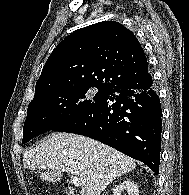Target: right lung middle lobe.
I'll list each match as a JSON object with an SVG mask.
<instances>
[{"label":"right lung middle lobe","mask_w":189,"mask_h":195,"mask_svg":"<svg viewBox=\"0 0 189 195\" xmlns=\"http://www.w3.org/2000/svg\"><path fill=\"white\" fill-rule=\"evenodd\" d=\"M93 88L98 90L94 96L91 95ZM106 90L103 87L76 86L32 100L28 105L22 143L25 144L39 134L54 130L85 112L105 95Z\"/></svg>","instance_id":"right-lung-middle-lobe-1"}]
</instances>
